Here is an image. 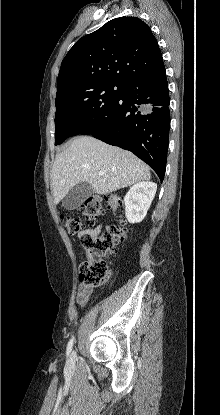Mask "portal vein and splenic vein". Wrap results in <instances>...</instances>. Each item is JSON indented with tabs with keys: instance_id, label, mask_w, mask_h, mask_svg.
Returning a JSON list of instances; mask_svg holds the SVG:
<instances>
[{
	"instance_id": "1",
	"label": "portal vein and splenic vein",
	"mask_w": 220,
	"mask_h": 415,
	"mask_svg": "<svg viewBox=\"0 0 220 415\" xmlns=\"http://www.w3.org/2000/svg\"><path fill=\"white\" fill-rule=\"evenodd\" d=\"M99 175H101V176H102V175H104V173H103V172H99Z\"/></svg>"
}]
</instances>
